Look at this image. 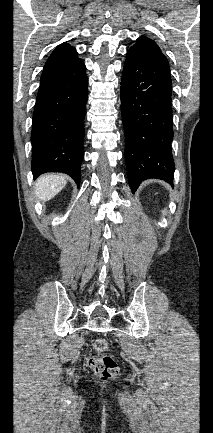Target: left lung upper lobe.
Here are the masks:
<instances>
[{"label":"left lung upper lobe","instance_id":"obj_1","mask_svg":"<svg viewBox=\"0 0 213 433\" xmlns=\"http://www.w3.org/2000/svg\"><path fill=\"white\" fill-rule=\"evenodd\" d=\"M133 48H137L140 50H143L145 52H148L154 56L159 57L166 63H168L165 55L161 52L159 46L150 38H147L145 36H141L137 39V43L133 45Z\"/></svg>","mask_w":213,"mask_h":433}]
</instances>
